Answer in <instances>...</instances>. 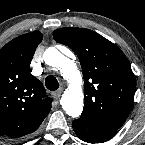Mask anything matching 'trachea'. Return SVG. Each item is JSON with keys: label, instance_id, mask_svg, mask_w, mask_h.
<instances>
[{"label": "trachea", "instance_id": "obj_1", "mask_svg": "<svg viewBox=\"0 0 145 145\" xmlns=\"http://www.w3.org/2000/svg\"><path fill=\"white\" fill-rule=\"evenodd\" d=\"M45 86L50 91H55L59 87L58 80L54 76H47L45 79Z\"/></svg>", "mask_w": 145, "mask_h": 145}]
</instances>
